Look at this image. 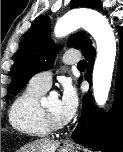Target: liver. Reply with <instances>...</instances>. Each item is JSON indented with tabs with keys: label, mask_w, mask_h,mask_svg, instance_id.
<instances>
[{
	"label": "liver",
	"mask_w": 123,
	"mask_h": 152,
	"mask_svg": "<svg viewBox=\"0 0 123 152\" xmlns=\"http://www.w3.org/2000/svg\"><path fill=\"white\" fill-rule=\"evenodd\" d=\"M59 145L58 141L40 139L25 145L17 152H56Z\"/></svg>",
	"instance_id": "6515ba94"
}]
</instances>
